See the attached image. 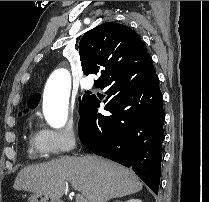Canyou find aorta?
<instances>
[{"mask_svg":"<svg viewBox=\"0 0 209 202\" xmlns=\"http://www.w3.org/2000/svg\"><path fill=\"white\" fill-rule=\"evenodd\" d=\"M70 87V74L65 69L55 70L45 85L43 112L53 128H61L67 121Z\"/></svg>","mask_w":209,"mask_h":202,"instance_id":"1","label":"aorta"}]
</instances>
